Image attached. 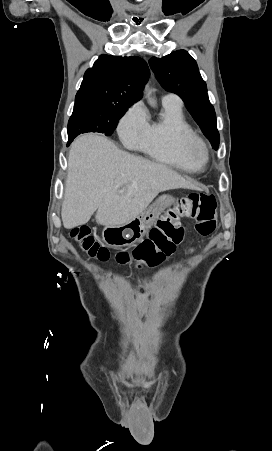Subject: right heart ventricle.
<instances>
[{"instance_id":"e07e8e85","label":"right heart ventricle","mask_w":272,"mask_h":451,"mask_svg":"<svg viewBox=\"0 0 272 451\" xmlns=\"http://www.w3.org/2000/svg\"><path fill=\"white\" fill-rule=\"evenodd\" d=\"M164 111L159 121L148 125L146 133L136 146L158 162L175 167L185 174H192L190 166L185 162L181 144L176 141L175 134H193L186 123L181 108L163 104Z\"/></svg>"}]
</instances>
